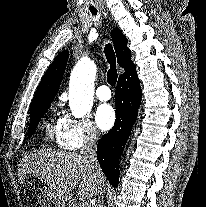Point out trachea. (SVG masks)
I'll return each mask as SVG.
<instances>
[{
  "label": "trachea",
  "instance_id": "obj_1",
  "mask_svg": "<svg viewBox=\"0 0 206 207\" xmlns=\"http://www.w3.org/2000/svg\"><path fill=\"white\" fill-rule=\"evenodd\" d=\"M93 15L97 14V11H91ZM105 56L107 58L108 63L110 64V69L107 73V82L111 86H115L117 82V70H116V57L113 50V47L111 45H106L104 50Z\"/></svg>",
  "mask_w": 206,
  "mask_h": 207
}]
</instances>
